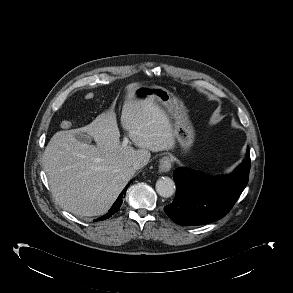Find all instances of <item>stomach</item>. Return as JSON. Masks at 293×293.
<instances>
[{
  "label": "stomach",
  "instance_id": "stomach-1",
  "mask_svg": "<svg viewBox=\"0 0 293 293\" xmlns=\"http://www.w3.org/2000/svg\"><path fill=\"white\" fill-rule=\"evenodd\" d=\"M134 99L146 101L152 99L161 104L174 121L175 136L184 150H188L195 137L194 129L188 119L187 110L169 90L155 85H140L134 89Z\"/></svg>",
  "mask_w": 293,
  "mask_h": 293
}]
</instances>
